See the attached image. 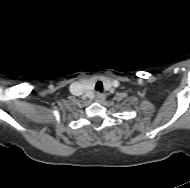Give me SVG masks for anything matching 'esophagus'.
<instances>
[{
  "instance_id": "esophagus-1",
  "label": "esophagus",
  "mask_w": 190,
  "mask_h": 188,
  "mask_svg": "<svg viewBox=\"0 0 190 188\" xmlns=\"http://www.w3.org/2000/svg\"><path fill=\"white\" fill-rule=\"evenodd\" d=\"M95 100L101 103L105 100V95L103 93H96Z\"/></svg>"
}]
</instances>
